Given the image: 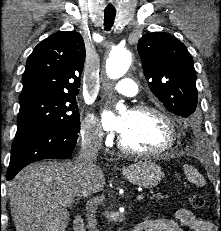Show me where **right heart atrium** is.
<instances>
[{"label": "right heart atrium", "mask_w": 221, "mask_h": 231, "mask_svg": "<svg viewBox=\"0 0 221 231\" xmlns=\"http://www.w3.org/2000/svg\"><path fill=\"white\" fill-rule=\"evenodd\" d=\"M80 136L83 141L99 145L102 141V134L97 127L96 120L92 116H88L81 124Z\"/></svg>", "instance_id": "right-heart-atrium-1"}]
</instances>
